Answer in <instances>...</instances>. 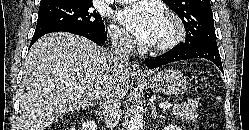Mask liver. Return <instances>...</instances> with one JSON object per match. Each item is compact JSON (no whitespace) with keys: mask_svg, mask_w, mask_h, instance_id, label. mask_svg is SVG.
Listing matches in <instances>:
<instances>
[{"mask_svg":"<svg viewBox=\"0 0 249 130\" xmlns=\"http://www.w3.org/2000/svg\"><path fill=\"white\" fill-rule=\"evenodd\" d=\"M128 89L127 68L116 71L106 50L82 36L47 34L24 63L18 128L46 130L61 115L94 106L109 90L122 99Z\"/></svg>","mask_w":249,"mask_h":130,"instance_id":"obj_1","label":"liver"}]
</instances>
